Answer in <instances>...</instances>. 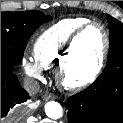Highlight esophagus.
Here are the masks:
<instances>
[{"label":"esophagus","instance_id":"34e87169","mask_svg":"<svg viewBox=\"0 0 123 123\" xmlns=\"http://www.w3.org/2000/svg\"><path fill=\"white\" fill-rule=\"evenodd\" d=\"M55 98V95L54 94H51V93H45L43 95V100L44 101H48V100H51V99H54Z\"/></svg>","mask_w":123,"mask_h":123}]
</instances>
